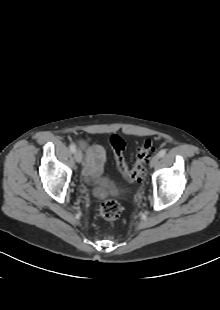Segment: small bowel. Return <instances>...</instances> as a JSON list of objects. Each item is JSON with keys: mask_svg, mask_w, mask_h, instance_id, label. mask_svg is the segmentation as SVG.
<instances>
[{"mask_svg": "<svg viewBox=\"0 0 220 310\" xmlns=\"http://www.w3.org/2000/svg\"><path fill=\"white\" fill-rule=\"evenodd\" d=\"M77 145L84 155V178L86 181L98 179L107 162L105 148L98 144H91L89 138L78 140ZM103 185L109 187L108 182H103Z\"/></svg>", "mask_w": 220, "mask_h": 310, "instance_id": "small-bowel-1", "label": "small bowel"}]
</instances>
